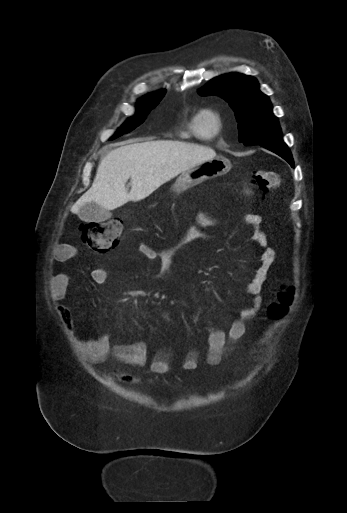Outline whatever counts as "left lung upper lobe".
Returning a JSON list of instances; mask_svg holds the SVG:
<instances>
[{
	"instance_id": "5c2ea615",
	"label": "left lung upper lobe",
	"mask_w": 347,
	"mask_h": 513,
	"mask_svg": "<svg viewBox=\"0 0 347 513\" xmlns=\"http://www.w3.org/2000/svg\"><path fill=\"white\" fill-rule=\"evenodd\" d=\"M198 93L221 96L230 104L238 121L239 141L244 145L283 141L271 102L260 92L254 77L238 73L222 75L212 79Z\"/></svg>"
}]
</instances>
